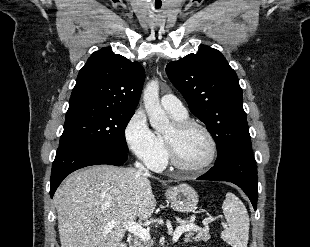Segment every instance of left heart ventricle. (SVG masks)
Here are the masks:
<instances>
[{
	"label": "left heart ventricle",
	"mask_w": 310,
	"mask_h": 247,
	"mask_svg": "<svg viewBox=\"0 0 310 247\" xmlns=\"http://www.w3.org/2000/svg\"><path fill=\"white\" fill-rule=\"evenodd\" d=\"M173 139L179 160L187 166L203 164L210 156L211 148L207 136L199 129H190L176 134L173 126L165 133Z\"/></svg>",
	"instance_id": "b2bd125f"
}]
</instances>
